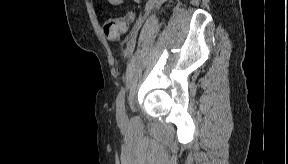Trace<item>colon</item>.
<instances>
[{
  "label": "colon",
  "mask_w": 288,
  "mask_h": 164,
  "mask_svg": "<svg viewBox=\"0 0 288 164\" xmlns=\"http://www.w3.org/2000/svg\"><path fill=\"white\" fill-rule=\"evenodd\" d=\"M134 15V12L127 11L121 17H110L104 20L102 22V29L105 37L110 41L118 40L127 32Z\"/></svg>",
  "instance_id": "colon-1"
}]
</instances>
